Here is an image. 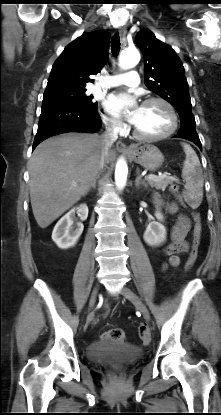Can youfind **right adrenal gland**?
<instances>
[{
  "instance_id": "right-adrenal-gland-1",
  "label": "right adrenal gland",
  "mask_w": 221,
  "mask_h": 415,
  "mask_svg": "<svg viewBox=\"0 0 221 415\" xmlns=\"http://www.w3.org/2000/svg\"><path fill=\"white\" fill-rule=\"evenodd\" d=\"M99 179V174L97 175V177L93 180V182H92V184H91V186H90V189L89 190H91V188H94V189H96V182H97V180Z\"/></svg>"
}]
</instances>
